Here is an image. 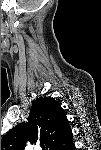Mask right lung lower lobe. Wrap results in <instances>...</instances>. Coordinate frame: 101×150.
Listing matches in <instances>:
<instances>
[{
    "instance_id": "obj_1",
    "label": "right lung lower lobe",
    "mask_w": 101,
    "mask_h": 150,
    "mask_svg": "<svg viewBox=\"0 0 101 150\" xmlns=\"http://www.w3.org/2000/svg\"><path fill=\"white\" fill-rule=\"evenodd\" d=\"M73 149H75V146H74V144H73V142H72L71 144H69V145L67 146L66 150H73Z\"/></svg>"
}]
</instances>
